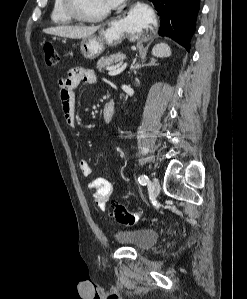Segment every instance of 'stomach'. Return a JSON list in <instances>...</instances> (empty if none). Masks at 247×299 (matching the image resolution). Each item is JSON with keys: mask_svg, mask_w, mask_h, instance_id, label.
<instances>
[{"mask_svg": "<svg viewBox=\"0 0 247 299\" xmlns=\"http://www.w3.org/2000/svg\"><path fill=\"white\" fill-rule=\"evenodd\" d=\"M128 32L124 20L107 22L100 28L99 35L82 39L80 51L84 58L95 59L104 51L106 45L115 46L121 43Z\"/></svg>", "mask_w": 247, "mask_h": 299, "instance_id": "stomach-1", "label": "stomach"}]
</instances>
